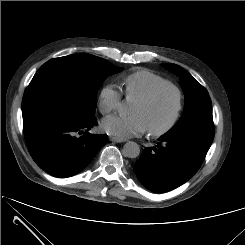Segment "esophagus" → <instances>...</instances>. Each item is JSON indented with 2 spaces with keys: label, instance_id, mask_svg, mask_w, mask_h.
<instances>
[{
  "label": "esophagus",
  "instance_id": "esophagus-1",
  "mask_svg": "<svg viewBox=\"0 0 245 245\" xmlns=\"http://www.w3.org/2000/svg\"><path fill=\"white\" fill-rule=\"evenodd\" d=\"M111 141L117 142V143H121V142H125L126 139L121 138V137H110Z\"/></svg>",
  "mask_w": 245,
  "mask_h": 245
}]
</instances>
